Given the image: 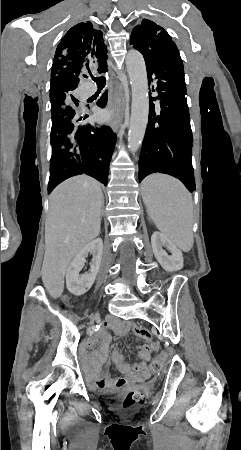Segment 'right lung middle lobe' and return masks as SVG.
Here are the masks:
<instances>
[{
    "label": "right lung middle lobe",
    "mask_w": 241,
    "mask_h": 450,
    "mask_svg": "<svg viewBox=\"0 0 241 450\" xmlns=\"http://www.w3.org/2000/svg\"><path fill=\"white\" fill-rule=\"evenodd\" d=\"M78 100L73 96H69L60 100L51 101V115H52V129H51V139L52 147L63 146L68 147L74 144V138L70 134L60 132L56 128V124L64 119H74L78 117L77 107Z\"/></svg>",
    "instance_id": "1"
}]
</instances>
